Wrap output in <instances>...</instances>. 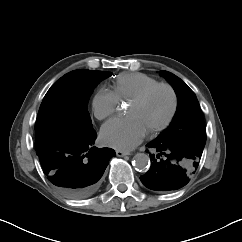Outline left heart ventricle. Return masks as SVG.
<instances>
[{
    "instance_id": "left-heart-ventricle-1",
    "label": "left heart ventricle",
    "mask_w": 242,
    "mask_h": 242,
    "mask_svg": "<svg viewBox=\"0 0 242 242\" xmlns=\"http://www.w3.org/2000/svg\"><path fill=\"white\" fill-rule=\"evenodd\" d=\"M172 95L169 90L159 88L142 103L129 102L126 112L134 116L148 132L163 123L172 109Z\"/></svg>"
}]
</instances>
